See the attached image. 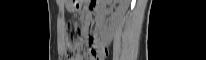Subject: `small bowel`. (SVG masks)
Listing matches in <instances>:
<instances>
[{
  "label": "small bowel",
  "mask_w": 206,
  "mask_h": 60,
  "mask_svg": "<svg viewBox=\"0 0 206 60\" xmlns=\"http://www.w3.org/2000/svg\"><path fill=\"white\" fill-rule=\"evenodd\" d=\"M102 51V48L97 44L95 39H90L88 43V52L91 59H97V56ZM82 57H78L75 60H82Z\"/></svg>",
  "instance_id": "c3829d8e"
}]
</instances>
